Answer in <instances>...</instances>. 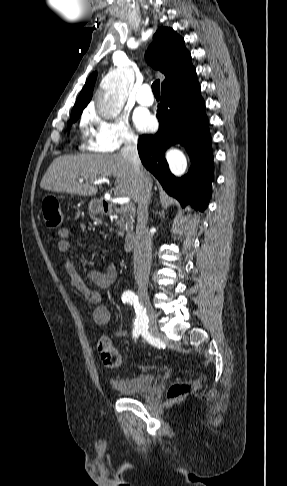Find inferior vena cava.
Instances as JSON below:
<instances>
[{"label":"inferior vena cava","instance_id":"602c4592","mask_svg":"<svg viewBox=\"0 0 287 486\" xmlns=\"http://www.w3.org/2000/svg\"><path fill=\"white\" fill-rule=\"evenodd\" d=\"M121 155L133 166L138 180V210L134 248V276L139 289H146L148 285L152 261V235L147 227L148 203L151 198L152 182L146 170L142 167L138 150L137 138L128 135Z\"/></svg>","mask_w":287,"mask_h":486}]
</instances>
